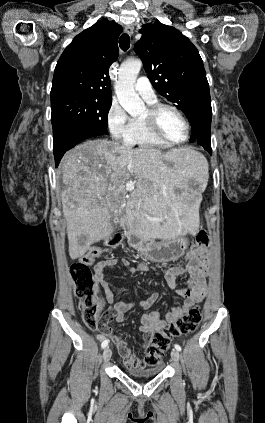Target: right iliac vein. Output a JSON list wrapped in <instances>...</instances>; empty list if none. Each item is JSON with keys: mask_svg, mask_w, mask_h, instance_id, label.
Wrapping results in <instances>:
<instances>
[{"mask_svg": "<svg viewBox=\"0 0 265 423\" xmlns=\"http://www.w3.org/2000/svg\"><path fill=\"white\" fill-rule=\"evenodd\" d=\"M112 356V351L109 347L105 348L103 351V359L105 362H109Z\"/></svg>", "mask_w": 265, "mask_h": 423, "instance_id": "1", "label": "right iliac vein"}]
</instances>
